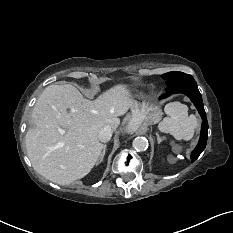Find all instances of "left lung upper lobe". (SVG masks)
Wrapping results in <instances>:
<instances>
[{
	"mask_svg": "<svg viewBox=\"0 0 233 233\" xmlns=\"http://www.w3.org/2000/svg\"><path fill=\"white\" fill-rule=\"evenodd\" d=\"M161 77L166 80L167 90L182 83L195 82L191 75L177 71L163 74Z\"/></svg>",
	"mask_w": 233,
	"mask_h": 233,
	"instance_id": "obj_1",
	"label": "left lung upper lobe"
}]
</instances>
